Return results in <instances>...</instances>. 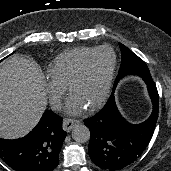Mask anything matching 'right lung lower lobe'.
Listing matches in <instances>:
<instances>
[{
    "label": "right lung lower lobe",
    "instance_id": "98d812e1",
    "mask_svg": "<svg viewBox=\"0 0 171 171\" xmlns=\"http://www.w3.org/2000/svg\"><path fill=\"white\" fill-rule=\"evenodd\" d=\"M66 134L62 118L47 110L28 135L15 140L0 138V158L16 171H53Z\"/></svg>",
    "mask_w": 171,
    "mask_h": 171
}]
</instances>
